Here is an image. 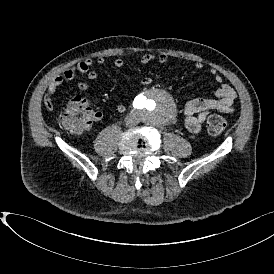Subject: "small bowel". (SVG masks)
I'll return each instance as SVG.
<instances>
[{
	"instance_id": "1",
	"label": "small bowel",
	"mask_w": 274,
	"mask_h": 274,
	"mask_svg": "<svg viewBox=\"0 0 274 274\" xmlns=\"http://www.w3.org/2000/svg\"><path fill=\"white\" fill-rule=\"evenodd\" d=\"M154 61L164 64L168 61V55L166 53H160L157 55L147 53L140 59V62L143 65L150 64ZM95 64L98 66H104L106 64V59L102 56L96 58L95 60L85 59L54 77L49 84L48 94L43 96V110L48 113L54 110L55 102L52 100V97L56 93L58 87L65 82L72 81L77 75H86L89 80H96L98 78V73L93 69ZM124 65L125 62L122 58H116L113 61V66L117 69L124 67ZM194 67L197 70L204 69V65L201 62L194 63ZM209 74L214 83L218 85V88L214 93V98L194 99L187 102L182 108L184 126L191 133H197L201 130L210 113H230L233 111L234 101L236 99L235 90L228 84L224 83L223 77L215 68L209 69ZM152 83L153 79L151 77H144L140 81V84L143 86H148ZM78 88L82 91H86L90 88V84L85 81H79ZM75 101L81 102L88 110V113L85 116L84 123L80 127L72 130L74 133L80 134L90 129L94 124L102 121L103 113L97 109H94L97 105L96 102L82 100L80 98H76ZM116 109L118 112H124L126 107L123 104H119Z\"/></svg>"
}]
</instances>
